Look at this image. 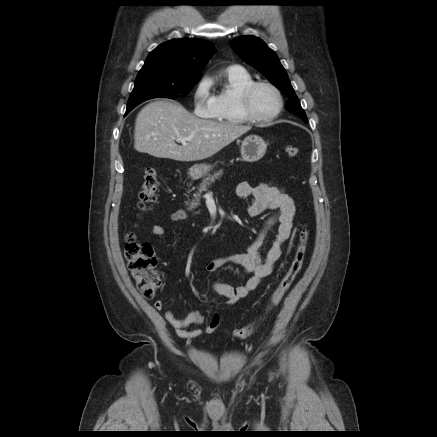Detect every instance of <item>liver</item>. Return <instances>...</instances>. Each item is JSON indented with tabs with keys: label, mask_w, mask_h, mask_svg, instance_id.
<instances>
[{
	"label": "liver",
	"mask_w": 437,
	"mask_h": 437,
	"mask_svg": "<svg viewBox=\"0 0 437 437\" xmlns=\"http://www.w3.org/2000/svg\"><path fill=\"white\" fill-rule=\"evenodd\" d=\"M251 126L198 118L166 99L144 106L134 129V148L158 158L190 162L207 159L245 134ZM187 138L186 145L175 143Z\"/></svg>",
	"instance_id": "obj_1"
}]
</instances>
